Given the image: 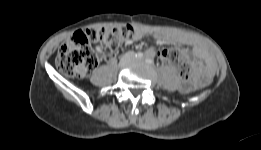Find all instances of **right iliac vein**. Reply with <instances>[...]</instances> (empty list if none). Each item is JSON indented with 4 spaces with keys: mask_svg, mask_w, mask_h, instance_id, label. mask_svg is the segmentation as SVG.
Wrapping results in <instances>:
<instances>
[{
    "mask_svg": "<svg viewBox=\"0 0 261 150\" xmlns=\"http://www.w3.org/2000/svg\"><path fill=\"white\" fill-rule=\"evenodd\" d=\"M130 59H131V57H128V58L125 60V62L129 61Z\"/></svg>",
    "mask_w": 261,
    "mask_h": 150,
    "instance_id": "right-iliac-vein-1",
    "label": "right iliac vein"
}]
</instances>
